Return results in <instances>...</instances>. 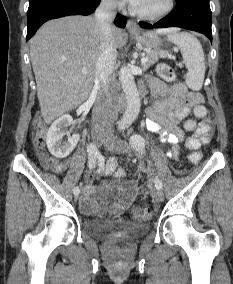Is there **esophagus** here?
Masks as SVG:
<instances>
[{"label":"esophagus","mask_w":233,"mask_h":284,"mask_svg":"<svg viewBox=\"0 0 233 284\" xmlns=\"http://www.w3.org/2000/svg\"><path fill=\"white\" fill-rule=\"evenodd\" d=\"M126 28L131 33H135V32L139 31L138 24L135 21H133V20H128L127 21Z\"/></svg>","instance_id":"1"}]
</instances>
